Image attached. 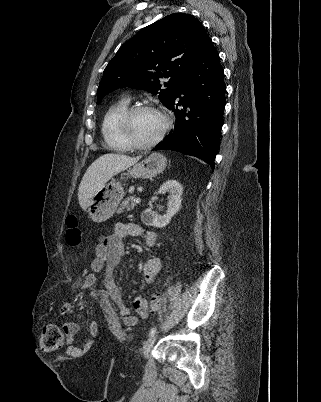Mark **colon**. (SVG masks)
Wrapping results in <instances>:
<instances>
[{
	"label": "colon",
	"instance_id": "1",
	"mask_svg": "<svg viewBox=\"0 0 321 402\" xmlns=\"http://www.w3.org/2000/svg\"><path fill=\"white\" fill-rule=\"evenodd\" d=\"M66 241L72 248H77L82 242V232L79 228L78 219L74 215H70L66 219ZM76 283L72 288L74 294H81L83 291L82 283L85 282L84 274H77L75 277ZM160 307V297L155 294L151 297L149 304L139 303L135 305L136 311L143 315L148 311H157ZM63 345V334L59 327L55 324H48L44 327L41 335V348L44 351H56Z\"/></svg>",
	"mask_w": 321,
	"mask_h": 402
}]
</instances>
